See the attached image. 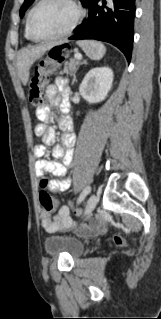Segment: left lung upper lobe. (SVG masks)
Listing matches in <instances>:
<instances>
[{"instance_id":"1","label":"left lung upper lobe","mask_w":161,"mask_h":319,"mask_svg":"<svg viewBox=\"0 0 161 319\" xmlns=\"http://www.w3.org/2000/svg\"><path fill=\"white\" fill-rule=\"evenodd\" d=\"M83 6H87L90 0H80ZM34 2V0H25L21 9H20V17H23L24 12L27 10V8Z\"/></svg>"}]
</instances>
